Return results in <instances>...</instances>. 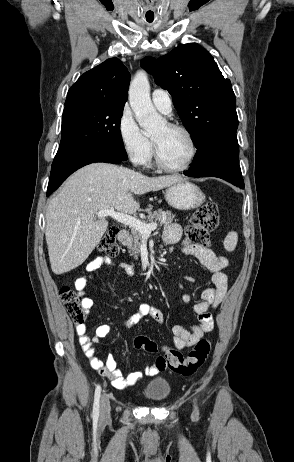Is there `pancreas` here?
<instances>
[{"instance_id": "cf45deb5", "label": "pancreas", "mask_w": 294, "mask_h": 462, "mask_svg": "<svg viewBox=\"0 0 294 462\" xmlns=\"http://www.w3.org/2000/svg\"><path fill=\"white\" fill-rule=\"evenodd\" d=\"M149 215L146 220H142L143 223L145 224H151L153 222H157L160 225H169L172 223L173 219L175 218V215L170 212V211H164L162 209H159L158 211L155 212H148ZM141 241H142V234L132 228L131 229V234L128 235L126 241L124 242V245L129 249V253L131 256H133L135 259H138V256L140 254V246H141Z\"/></svg>"}]
</instances>
